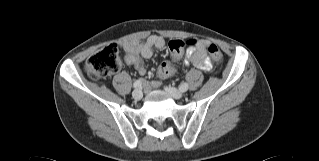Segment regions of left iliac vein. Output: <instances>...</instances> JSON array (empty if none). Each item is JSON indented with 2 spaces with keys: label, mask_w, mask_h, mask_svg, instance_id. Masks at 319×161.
<instances>
[{
  "label": "left iliac vein",
  "mask_w": 319,
  "mask_h": 161,
  "mask_svg": "<svg viewBox=\"0 0 319 161\" xmlns=\"http://www.w3.org/2000/svg\"><path fill=\"white\" fill-rule=\"evenodd\" d=\"M165 90L174 98L180 99L183 97V93L176 88L173 87H166Z\"/></svg>",
  "instance_id": "left-iliac-vein-1"
}]
</instances>
